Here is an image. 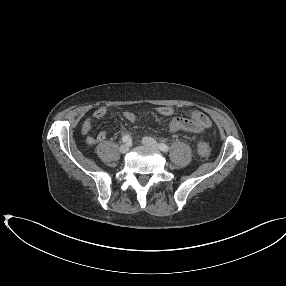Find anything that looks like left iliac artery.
I'll return each instance as SVG.
<instances>
[{
  "label": "left iliac artery",
  "instance_id": "44dca946",
  "mask_svg": "<svg viewBox=\"0 0 286 286\" xmlns=\"http://www.w3.org/2000/svg\"><path fill=\"white\" fill-rule=\"evenodd\" d=\"M159 149L163 152H167L169 150V146L164 143H159Z\"/></svg>",
  "mask_w": 286,
  "mask_h": 286
}]
</instances>
